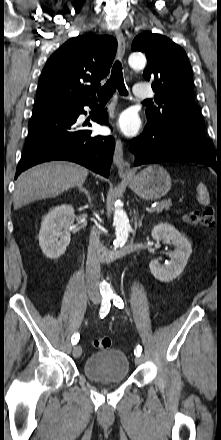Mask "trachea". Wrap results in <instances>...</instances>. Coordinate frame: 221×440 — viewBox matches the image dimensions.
<instances>
[{
    "label": "trachea",
    "mask_w": 221,
    "mask_h": 440,
    "mask_svg": "<svg viewBox=\"0 0 221 440\" xmlns=\"http://www.w3.org/2000/svg\"><path fill=\"white\" fill-rule=\"evenodd\" d=\"M118 89L119 93L123 96L128 95V91L124 84L122 65L119 61H116L113 65L110 79L106 84L97 90V94L100 99H109L114 92ZM150 100H145L149 102Z\"/></svg>",
    "instance_id": "1"
}]
</instances>
